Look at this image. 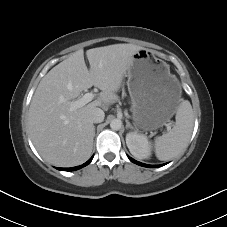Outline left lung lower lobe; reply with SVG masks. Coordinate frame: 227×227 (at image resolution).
Listing matches in <instances>:
<instances>
[{"mask_svg":"<svg viewBox=\"0 0 227 227\" xmlns=\"http://www.w3.org/2000/svg\"><path fill=\"white\" fill-rule=\"evenodd\" d=\"M128 158H129L130 161H132L133 163L138 164V165L143 166V167H152V168H155V167H160V166H162V165H147V164L138 162V161L132 159L131 157H128Z\"/></svg>","mask_w":227,"mask_h":227,"instance_id":"left-lung-lower-lobe-1","label":"left lung lower lobe"}]
</instances>
